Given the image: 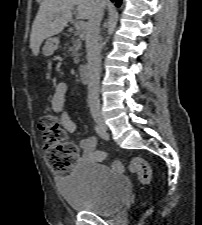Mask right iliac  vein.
I'll return each instance as SVG.
<instances>
[{
  "instance_id": "63e3f726",
  "label": "right iliac vein",
  "mask_w": 202,
  "mask_h": 225,
  "mask_svg": "<svg viewBox=\"0 0 202 225\" xmlns=\"http://www.w3.org/2000/svg\"><path fill=\"white\" fill-rule=\"evenodd\" d=\"M92 117H93L94 121L98 124V126H100L104 131L107 129V127L104 123L102 113L100 111H93Z\"/></svg>"
}]
</instances>
